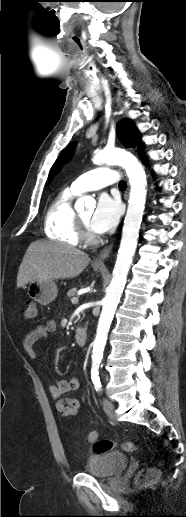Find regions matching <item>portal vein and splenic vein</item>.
<instances>
[{"instance_id": "portal-vein-and-splenic-vein-1", "label": "portal vein and splenic vein", "mask_w": 186, "mask_h": 517, "mask_svg": "<svg viewBox=\"0 0 186 517\" xmlns=\"http://www.w3.org/2000/svg\"><path fill=\"white\" fill-rule=\"evenodd\" d=\"M78 301H79V300H78V298H77V297H73V298L71 299V302H72L73 304H77V303H78Z\"/></svg>"}]
</instances>
